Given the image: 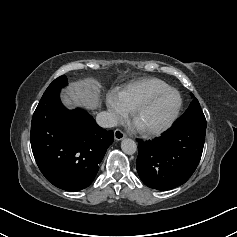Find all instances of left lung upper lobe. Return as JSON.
Masks as SVG:
<instances>
[{
  "label": "left lung upper lobe",
  "instance_id": "1",
  "mask_svg": "<svg viewBox=\"0 0 237 237\" xmlns=\"http://www.w3.org/2000/svg\"><path fill=\"white\" fill-rule=\"evenodd\" d=\"M192 97H194L192 95ZM174 126L206 127V119L196 98L190 103L186 112L174 123Z\"/></svg>",
  "mask_w": 237,
  "mask_h": 237
}]
</instances>
